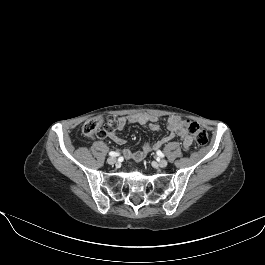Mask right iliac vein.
Wrapping results in <instances>:
<instances>
[{
  "label": "right iliac vein",
  "instance_id": "1",
  "mask_svg": "<svg viewBox=\"0 0 265 265\" xmlns=\"http://www.w3.org/2000/svg\"><path fill=\"white\" fill-rule=\"evenodd\" d=\"M107 162H108L110 165H114V164H116L117 160H116V158H114V157H109L108 160H107Z\"/></svg>",
  "mask_w": 265,
  "mask_h": 265
}]
</instances>
